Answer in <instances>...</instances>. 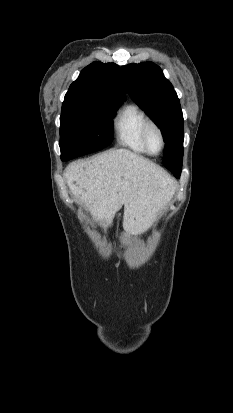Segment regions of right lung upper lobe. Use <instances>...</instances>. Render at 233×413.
I'll return each instance as SVG.
<instances>
[{
	"mask_svg": "<svg viewBox=\"0 0 233 413\" xmlns=\"http://www.w3.org/2000/svg\"><path fill=\"white\" fill-rule=\"evenodd\" d=\"M126 88L122 73L115 63L93 62L85 67L66 96L107 100H125Z\"/></svg>",
	"mask_w": 233,
	"mask_h": 413,
	"instance_id": "right-lung-upper-lobe-1",
	"label": "right lung upper lobe"
}]
</instances>
